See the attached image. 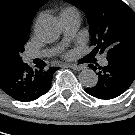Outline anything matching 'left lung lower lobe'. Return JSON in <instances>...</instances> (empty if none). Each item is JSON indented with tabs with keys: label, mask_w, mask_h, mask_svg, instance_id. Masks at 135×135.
Instances as JSON below:
<instances>
[{
	"label": "left lung lower lobe",
	"mask_w": 135,
	"mask_h": 135,
	"mask_svg": "<svg viewBox=\"0 0 135 135\" xmlns=\"http://www.w3.org/2000/svg\"><path fill=\"white\" fill-rule=\"evenodd\" d=\"M89 67L97 71L98 82L95 86L84 89L98 99H113L123 94L135 80V67L119 61L108 60L104 67Z\"/></svg>",
	"instance_id": "obj_1"
}]
</instances>
